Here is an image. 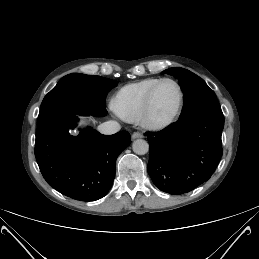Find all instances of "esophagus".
<instances>
[{
    "instance_id": "1",
    "label": "esophagus",
    "mask_w": 259,
    "mask_h": 259,
    "mask_svg": "<svg viewBox=\"0 0 259 259\" xmlns=\"http://www.w3.org/2000/svg\"><path fill=\"white\" fill-rule=\"evenodd\" d=\"M137 138H143V134L140 132H134L132 134V139H137Z\"/></svg>"
}]
</instances>
